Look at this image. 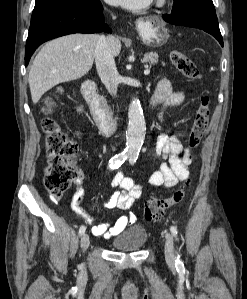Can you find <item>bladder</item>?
<instances>
[{
	"label": "bladder",
	"mask_w": 247,
	"mask_h": 299,
	"mask_svg": "<svg viewBox=\"0 0 247 299\" xmlns=\"http://www.w3.org/2000/svg\"><path fill=\"white\" fill-rule=\"evenodd\" d=\"M147 241V232L144 227L140 225H133L112 241V247L120 251L138 250L144 246Z\"/></svg>",
	"instance_id": "bladder-1"
}]
</instances>
